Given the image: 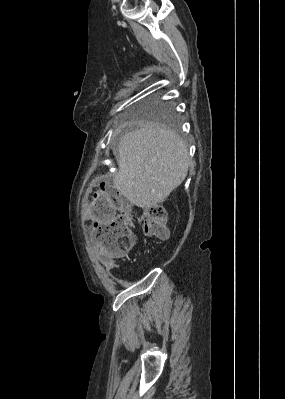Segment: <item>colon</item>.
Returning a JSON list of instances; mask_svg holds the SVG:
<instances>
[{
	"mask_svg": "<svg viewBox=\"0 0 285 399\" xmlns=\"http://www.w3.org/2000/svg\"><path fill=\"white\" fill-rule=\"evenodd\" d=\"M122 206L121 197L114 186L102 183L86 200L84 213L93 222L94 240L102 250L114 258L127 256L134 247L133 218L149 233L166 237L168 218L162 206L140 208L132 215L116 213Z\"/></svg>",
	"mask_w": 285,
	"mask_h": 399,
	"instance_id": "obj_1",
	"label": "colon"
}]
</instances>
